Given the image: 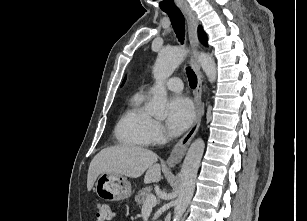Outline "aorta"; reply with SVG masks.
I'll return each mask as SVG.
<instances>
[{
  "mask_svg": "<svg viewBox=\"0 0 307 221\" xmlns=\"http://www.w3.org/2000/svg\"><path fill=\"white\" fill-rule=\"evenodd\" d=\"M187 53L188 51L186 49L180 47L162 49L158 53L153 67V75L155 78L154 94L151 101L145 107L147 113L150 115L156 118L166 117L165 105L167 91L164 83L181 64ZM198 61L208 77L209 82L214 83L217 77V68L212 56L201 52L198 55ZM204 148V141L198 138L191 144L187 151L180 172L179 195L175 200L173 221H180L193 196L197 172Z\"/></svg>",
  "mask_w": 307,
  "mask_h": 221,
  "instance_id": "762f6f07",
  "label": "aorta"
}]
</instances>
